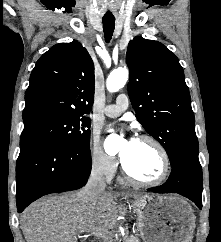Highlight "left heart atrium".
<instances>
[{
	"label": "left heart atrium",
	"mask_w": 221,
	"mask_h": 242,
	"mask_svg": "<svg viewBox=\"0 0 221 242\" xmlns=\"http://www.w3.org/2000/svg\"><path fill=\"white\" fill-rule=\"evenodd\" d=\"M137 139L130 135L127 140H126V144H127V147H132L135 143H136Z\"/></svg>",
	"instance_id": "left-heart-atrium-1"
}]
</instances>
